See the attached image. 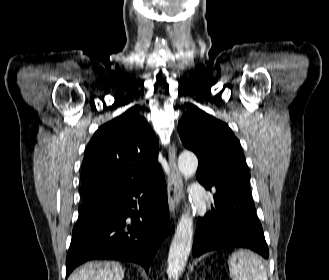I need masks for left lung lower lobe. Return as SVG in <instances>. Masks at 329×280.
Instances as JSON below:
<instances>
[{
  "label": "left lung lower lobe",
  "instance_id": "1",
  "mask_svg": "<svg viewBox=\"0 0 329 280\" xmlns=\"http://www.w3.org/2000/svg\"><path fill=\"white\" fill-rule=\"evenodd\" d=\"M214 203L210 212L198 218L193 255L243 247L268 258V247L249 189L242 187L230 195L214 196Z\"/></svg>",
  "mask_w": 329,
  "mask_h": 280
}]
</instances>
